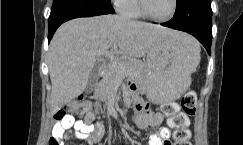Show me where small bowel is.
<instances>
[{"label":"small bowel","mask_w":243,"mask_h":145,"mask_svg":"<svg viewBox=\"0 0 243 145\" xmlns=\"http://www.w3.org/2000/svg\"><path fill=\"white\" fill-rule=\"evenodd\" d=\"M135 91V87H131ZM87 108L94 106L95 110H101L100 106L93 105L90 102L85 104ZM138 114L135 119L136 126L140 130H146L150 127L159 126L163 121V115L158 112H151L148 105L140 100L136 101ZM93 114H88L85 120H75L73 116H67L58 121L52 130V136L60 139L61 145H69L68 140L75 136L77 139L87 140L90 145H96L104 135V126L101 123L93 124ZM74 130V133L73 131ZM170 130L167 127H159L152 133L148 140V145H168Z\"/></svg>","instance_id":"small-bowel-1"}]
</instances>
